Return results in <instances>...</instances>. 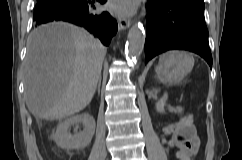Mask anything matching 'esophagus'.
<instances>
[{
    "mask_svg": "<svg viewBox=\"0 0 242 160\" xmlns=\"http://www.w3.org/2000/svg\"><path fill=\"white\" fill-rule=\"evenodd\" d=\"M131 21L129 19H126L124 17H119L118 18V26L121 30L127 29L131 25Z\"/></svg>",
    "mask_w": 242,
    "mask_h": 160,
    "instance_id": "34e87169",
    "label": "esophagus"
}]
</instances>
